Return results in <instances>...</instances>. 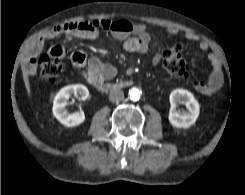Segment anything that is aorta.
<instances>
[{
  "label": "aorta",
  "mask_w": 245,
  "mask_h": 195,
  "mask_svg": "<svg viewBox=\"0 0 245 195\" xmlns=\"http://www.w3.org/2000/svg\"><path fill=\"white\" fill-rule=\"evenodd\" d=\"M141 92L137 88H132L129 90V98L132 101H138L140 99Z\"/></svg>",
  "instance_id": "762f6f07"
}]
</instances>
